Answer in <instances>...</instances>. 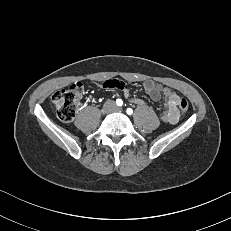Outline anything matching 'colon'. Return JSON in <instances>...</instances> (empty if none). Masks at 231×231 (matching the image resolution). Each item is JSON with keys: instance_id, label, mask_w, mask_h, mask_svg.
Instances as JSON below:
<instances>
[{"instance_id": "5ec220e1", "label": "colon", "mask_w": 231, "mask_h": 231, "mask_svg": "<svg viewBox=\"0 0 231 231\" xmlns=\"http://www.w3.org/2000/svg\"><path fill=\"white\" fill-rule=\"evenodd\" d=\"M84 95V87L81 83H74L68 88L56 91L52 96V103L56 109L58 118L63 122H70L75 117V114L82 104ZM179 109L186 112L189 108V103L182 98L179 101Z\"/></svg>"}]
</instances>
